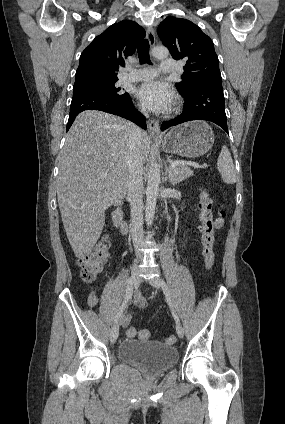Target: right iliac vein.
Listing matches in <instances>:
<instances>
[{
  "label": "right iliac vein",
  "instance_id": "1",
  "mask_svg": "<svg viewBox=\"0 0 285 424\" xmlns=\"http://www.w3.org/2000/svg\"><path fill=\"white\" fill-rule=\"evenodd\" d=\"M138 262L139 260H136L133 266L132 275L130 278L132 286H134L135 288H137L140 284V277L138 275ZM118 336H119V323L116 322L111 328V332H110V341L112 344L116 342Z\"/></svg>",
  "mask_w": 285,
  "mask_h": 424
}]
</instances>
